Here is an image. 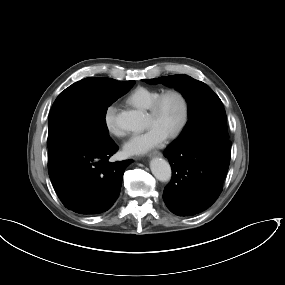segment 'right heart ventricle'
I'll use <instances>...</instances> for the list:
<instances>
[{"label": "right heart ventricle", "mask_w": 285, "mask_h": 285, "mask_svg": "<svg viewBox=\"0 0 285 285\" xmlns=\"http://www.w3.org/2000/svg\"><path fill=\"white\" fill-rule=\"evenodd\" d=\"M160 93L158 89L139 86L126 97V101L136 108L149 109Z\"/></svg>", "instance_id": "right-heart-ventricle-1"}]
</instances>
